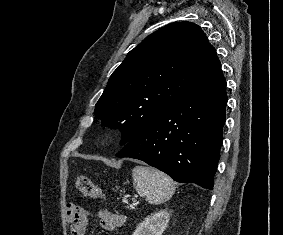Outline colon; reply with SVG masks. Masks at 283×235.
Segmentation results:
<instances>
[{"instance_id":"5ec220e1","label":"colon","mask_w":283,"mask_h":235,"mask_svg":"<svg viewBox=\"0 0 283 235\" xmlns=\"http://www.w3.org/2000/svg\"><path fill=\"white\" fill-rule=\"evenodd\" d=\"M76 186L79 191L89 198H104L105 193L94 183V181L83 174H78L76 177Z\"/></svg>"}]
</instances>
